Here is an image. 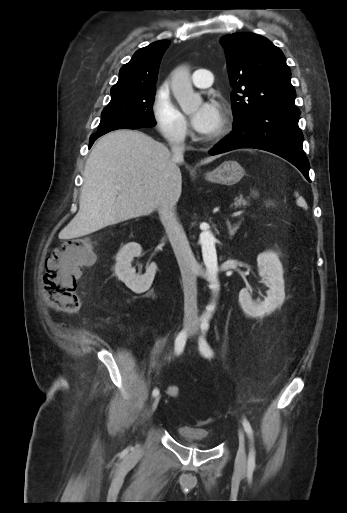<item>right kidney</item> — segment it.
Returning <instances> with one entry per match:
<instances>
[{
	"mask_svg": "<svg viewBox=\"0 0 347 513\" xmlns=\"http://www.w3.org/2000/svg\"><path fill=\"white\" fill-rule=\"evenodd\" d=\"M141 252V246L131 242L123 246L116 256L115 273L117 277L135 293H143L151 287L157 270L156 264L153 263L146 269L145 274H136L131 262L134 257H139Z\"/></svg>",
	"mask_w": 347,
	"mask_h": 513,
	"instance_id": "obj_1",
	"label": "right kidney"
}]
</instances>
